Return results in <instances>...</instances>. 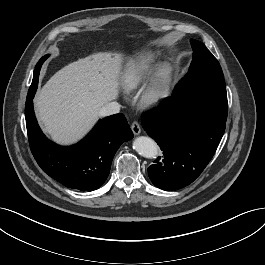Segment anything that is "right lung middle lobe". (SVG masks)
Returning <instances> with one entry per match:
<instances>
[{
    "label": "right lung middle lobe",
    "instance_id": "obj_1",
    "mask_svg": "<svg viewBox=\"0 0 265 265\" xmlns=\"http://www.w3.org/2000/svg\"><path fill=\"white\" fill-rule=\"evenodd\" d=\"M47 57H48V55H46L45 57L40 59V61L43 62L44 60H46ZM36 69L39 70V68H37V65H36ZM38 77H39V71H34L33 81H32V84L29 88L28 93L35 94L36 89H37V84H38Z\"/></svg>",
    "mask_w": 265,
    "mask_h": 265
}]
</instances>
